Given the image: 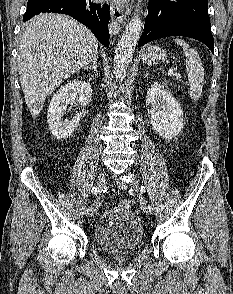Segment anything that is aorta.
<instances>
[{
    "instance_id": "1",
    "label": "aorta",
    "mask_w": 233,
    "mask_h": 294,
    "mask_svg": "<svg viewBox=\"0 0 233 294\" xmlns=\"http://www.w3.org/2000/svg\"><path fill=\"white\" fill-rule=\"evenodd\" d=\"M140 0H138L139 6ZM140 10L136 7L133 17L126 25L115 50L114 76L117 81H123L128 73L133 52L140 38L142 30Z\"/></svg>"
}]
</instances>
